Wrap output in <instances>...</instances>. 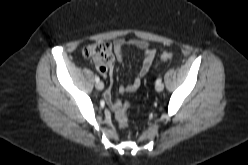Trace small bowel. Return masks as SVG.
<instances>
[{"mask_svg":"<svg viewBox=\"0 0 248 165\" xmlns=\"http://www.w3.org/2000/svg\"><path fill=\"white\" fill-rule=\"evenodd\" d=\"M128 46L143 50L144 56H143L141 66L138 70V73H137L135 79L130 83L120 85L119 89H118L120 93L133 92L139 88V86L141 85L142 79L148 73V71L151 67V64L154 60V57L156 55V50L145 40L120 39V40L115 41L113 44L114 52H115L116 57L119 61L124 59V50ZM102 74L107 76L110 80V83H112V79H113L112 67H110L107 71H102ZM105 98L109 102L112 99L110 90H108L105 93Z\"/></svg>","mask_w":248,"mask_h":165,"instance_id":"c3829d8e","label":"small bowel"}]
</instances>
